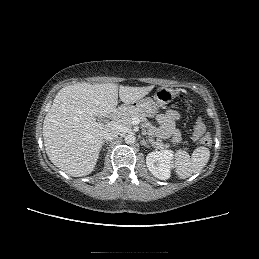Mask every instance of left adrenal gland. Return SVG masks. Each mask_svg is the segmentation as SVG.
I'll return each instance as SVG.
<instances>
[{
	"label": "left adrenal gland",
	"mask_w": 259,
	"mask_h": 259,
	"mask_svg": "<svg viewBox=\"0 0 259 259\" xmlns=\"http://www.w3.org/2000/svg\"><path fill=\"white\" fill-rule=\"evenodd\" d=\"M141 144L148 147V148L151 147L144 139L141 141Z\"/></svg>",
	"instance_id": "a2214340"
}]
</instances>
